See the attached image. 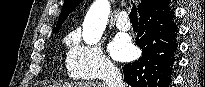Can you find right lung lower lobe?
<instances>
[{
  "label": "right lung lower lobe",
  "mask_w": 205,
  "mask_h": 87,
  "mask_svg": "<svg viewBox=\"0 0 205 87\" xmlns=\"http://www.w3.org/2000/svg\"><path fill=\"white\" fill-rule=\"evenodd\" d=\"M174 17L169 0H158L140 13L136 44L142 56L123 68L132 87H169L177 50Z\"/></svg>",
  "instance_id": "obj_1"
}]
</instances>
